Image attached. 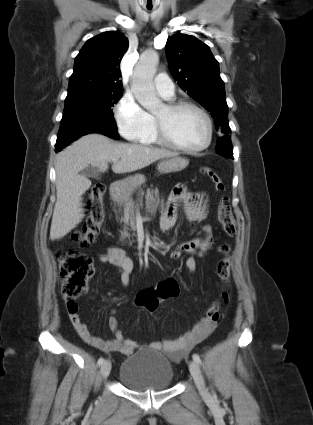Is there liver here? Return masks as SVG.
<instances>
[{"label": "liver", "instance_id": "obj_1", "mask_svg": "<svg viewBox=\"0 0 313 425\" xmlns=\"http://www.w3.org/2000/svg\"><path fill=\"white\" fill-rule=\"evenodd\" d=\"M178 154L167 149L138 144L115 143L101 134L85 135L58 153L56 157V194L50 239H61L71 232L84 218L82 195L90 188L91 181L79 174L91 165L100 172L108 170L113 159L115 173L140 170L159 159L172 158Z\"/></svg>", "mask_w": 313, "mask_h": 425}]
</instances>
